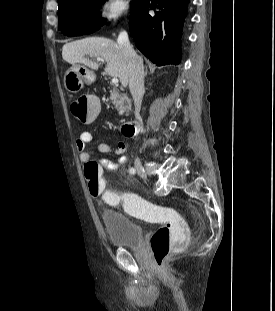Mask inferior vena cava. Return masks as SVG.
I'll return each instance as SVG.
<instances>
[{"mask_svg":"<svg viewBox=\"0 0 275 311\" xmlns=\"http://www.w3.org/2000/svg\"><path fill=\"white\" fill-rule=\"evenodd\" d=\"M117 44L128 58L129 89L135 106V117L139 118L142 98L144 94V67L143 60L130 45L128 34L122 31L117 39Z\"/></svg>","mask_w":275,"mask_h":311,"instance_id":"obj_1","label":"inferior vena cava"}]
</instances>
